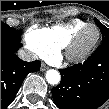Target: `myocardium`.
<instances>
[{
    "instance_id": "1",
    "label": "myocardium",
    "mask_w": 109,
    "mask_h": 109,
    "mask_svg": "<svg viewBox=\"0 0 109 109\" xmlns=\"http://www.w3.org/2000/svg\"><path fill=\"white\" fill-rule=\"evenodd\" d=\"M88 28H94L96 30V38L93 40V42L86 47L83 50H77L78 44L81 40L82 35ZM100 30L99 28L92 23H87L83 27L79 28L70 38V40L67 42V44L64 47V57L65 59L72 64H78L83 61H85L91 53L96 48L99 40H100ZM49 59V58H48Z\"/></svg>"
}]
</instances>
